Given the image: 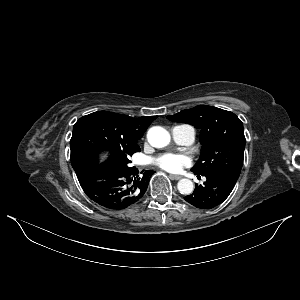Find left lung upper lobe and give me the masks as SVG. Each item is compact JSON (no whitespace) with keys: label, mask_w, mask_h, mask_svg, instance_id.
<instances>
[{"label":"left lung upper lobe","mask_w":300,"mask_h":300,"mask_svg":"<svg viewBox=\"0 0 300 300\" xmlns=\"http://www.w3.org/2000/svg\"><path fill=\"white\" fill-rule=\"evenodd\" d=\"M167 119L201 130V155L191 171L199 175L224 171L239 177L246 139L243 124L234 113L200 105L167 116Z\"/></svg>","instance_id":"left-lung-upper-lobe-1"}]
</instances>
